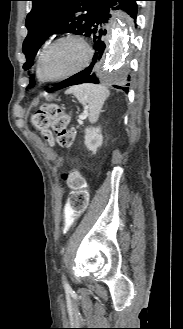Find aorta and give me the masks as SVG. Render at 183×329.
<instances>
[{"label": "aorta", "instance_id": "obj_1", "mask_svg": "<svg viewBox=\"0 0 183 329\" xmlns=\"http://www.w3.org/2000/svg\"><path fill=\"white\" fill-rule=\"evenodd\" d=\"M126 18L120 17L116 22L110 42V51L105 63V76L109 80L121 78L120 70L128 47V25Z\"/></svg>", "mask_w": 183, "mask_h": 329}]
</instances>
